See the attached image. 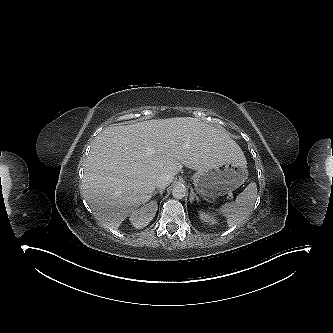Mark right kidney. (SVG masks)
Listing matches in <instances>:
<instances>
[{
    "label": "right kidney",
    "instance_id": "ca27d5eb",
    "mask_svg": "<svg viewBox=\"0 0 333 333\" xmlns=\"http://www.w3.org/2000/svg\"><path fill=\"white\" fill-rule=\"evenodd\" d=\"M157 209V202L151 201L148 204L143 205L140 209L131 212L129 220L135 228H144L154 218Z\"/></svg>",
    "mask_w": 333,
    "mask_h": 333
}]
</instances>
